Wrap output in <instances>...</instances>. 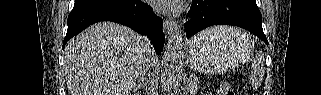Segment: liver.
<instances>
[{"label":"liver","instance_id":"obj_1","mask_svg":"<svg viewBox=\"0 0 321 95\" xmlns=\"http://www.w3.org/2000/svg\"><path fill=\"white\" fill-rule=\"evenodd\" d=\"M155 63L142 36L126 26L100 22L68 41L64 73L71 95H128Z\"/></svg>","mask_w":321,"mask_h":95}]
</instances>
